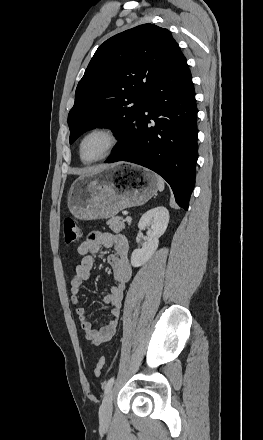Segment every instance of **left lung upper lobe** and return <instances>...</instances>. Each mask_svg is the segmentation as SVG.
I'll return each mask as SVG.
<instances>
[{"label":"left lung upper lobe","instance_id":"obj_1","mask_svg":"<svg viewBox=\"0 0 263 440\" xmlns=\"http://www.w3.org/2000/svg\"><path fill=\"white\" fill-rule=\"evenodd\" d=\"M176 44L170 32L143 24L119 33L99 46L75 92L68 115L70 143L95 127L111 128L120 142L130 132L148 91Z\"/></svg>","mask_w":263,"mask_h":440}]
</instances>
